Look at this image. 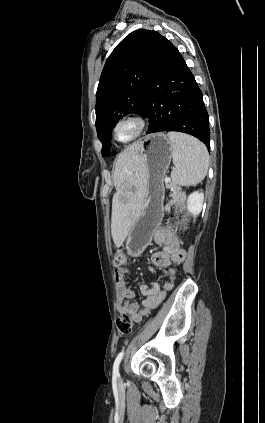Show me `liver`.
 <instances>
[{"instance_id":"1","label":"liver","mask_w":265,"mask_h":423,"mask_svg":"<svg viewBox=\"0 0 265 423\" xmlns=\"http://www.w3.org/2000/svg\"><path fill=\"white\" fill-rule=\"evenodd\" d=\"M140 145L134 143L117 158L113 181L116 193L112 200L111 234L116 247L125 241L133 226L146 192L145 172L139 160ZM135 188V192L128 191Z\"/></svg>"}]
</instances>
